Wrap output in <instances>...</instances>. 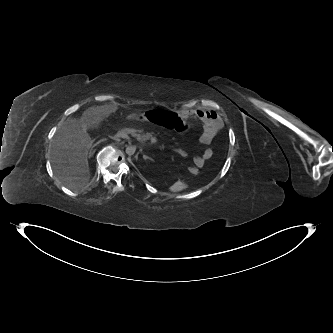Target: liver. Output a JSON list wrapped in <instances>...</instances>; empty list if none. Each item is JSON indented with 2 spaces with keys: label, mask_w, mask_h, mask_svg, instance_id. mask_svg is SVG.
I'll return each mask as SVG.
<instances>
[{
  "label": "liver",
  "mask_w": 333,
  "mask_h": 333,
  "mask_svg": "<svg viewBox=\"0 0 333 333\" xmlns=\"http://www.w3.org/2000/svg\"><path fill=\"white\" fill-rule=\"evenodd\" d=\"M118 110L117 103H106L86 109L80 119L68 118L54 135L51 144V163L56 178L70 189H81L90 180L88 152L93 140L89 129L98 128L112 113ZM139 115H127L128 120Z\"/></svg>",
  "instance_id": "liver-1"
}]
</instances>
